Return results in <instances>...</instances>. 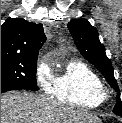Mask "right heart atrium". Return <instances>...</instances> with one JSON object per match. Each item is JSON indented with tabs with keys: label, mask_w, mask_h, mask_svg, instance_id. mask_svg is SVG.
<instances>
[{
	"label": "right heart atrium",
	"mask_w": 122,
	"mask_h": 123,
	"mask_svg": "<svg viewBox=\"0 0 122 123\" xmlns=\"http://www.w3.org/2000/svg\"><path fill=\"white\" fill-rule=\"evenodd\" d=\"M35 80L44 93L50 94L52 92L54 75L48 58L41 57L38 60L35 68Z\"/></svg>",
	"instance_id": "1"
}]
</instances>
